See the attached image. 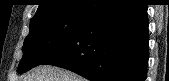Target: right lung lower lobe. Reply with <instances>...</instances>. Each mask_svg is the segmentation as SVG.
Returning <instances> with one entry per match:
<instances>
[{"label": "right lung lower lobe", "instance_id": "98d812e1", "mask_svg": "<svg viewBox=\"0 0 169 81\" xmlns=\"http://www.w3.org/2000/svg\"><path fill=\"white\" fill-rule=\"evenodd\" d=\"M148 24L143 1L119 0L88 18L41 64L68 69L91 81H145Z\"/></svg>", "mask_w": 169, "mask_h": 81}]
</instances>
